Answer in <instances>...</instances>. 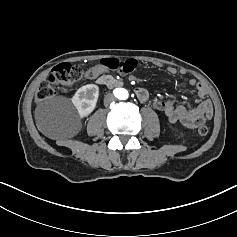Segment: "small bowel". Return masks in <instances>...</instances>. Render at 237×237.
Returning a JSON list of instances; mask_svg holds the SVG:
<instances>
[{
  "label": "small bowel",
  "mask_w": 237,
  "mask_h": 237,
  "mask_svg": "<svg viewBox=\"0 0 237 237\" xmlns=\"http://www.w3.org/2000/svg\"><path fill=\"white\" fill-rule=\"evenodd\" d=\"M107 71L108 69L99 63L86 70L84 76L88 79H96ZM167 71L170 74L176 73V69L173 67H167ZM189 84L196 88L198 97L201 100L200 104L196 107L176 105L171 100H154L152 106L155 110L164 114L170 123H178L186 128L194 129L212 118L213 105L207 99V91L202 83L191 79ZM135 95L141 103H148L150 101V94L143 87L136 88Z\"/></svg>",
  "instance_id": "small-bowel-1"
}]
</instances>
